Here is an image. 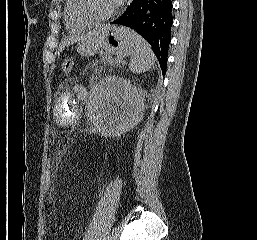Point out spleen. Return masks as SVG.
<instances>
[{"mask_svg": "<svg viewBox=\"0 0 257 240\" xmlns=\"http://www.w3.org/2000/svg\"><path fill=\"white\" fill-rule=\"evenodd\" d=\"M124 29L127 33L130 54L132 56L129 70L133 73L148 71L155 64L156 60L151 46L135 31Z\"/></svg>", "mask_w": 257, "mask_h": 240, "instance_id": "spleen-1", "label": "spleen"}]
</instances>
